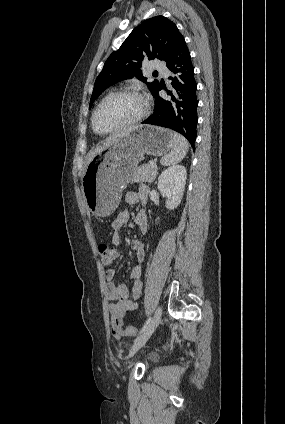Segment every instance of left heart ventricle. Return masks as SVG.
<instances>
[{"label": "left heart ventricle", "instance_id": "1", "mask_svg": "<svg viewBox=\"0 0 285 424\" xmlns=\"http://www.w3.org/2000/svg\"><path fill=\"white\" fill-rule=\"evenodd\" d=\"M144 109L143 100L136 95H121L108 100L98 111L96 126L104 131L121 126L136 118Z\"/></svg>", "mask_w": 285, "mask_h": 424}]
</instances>
